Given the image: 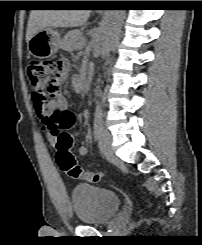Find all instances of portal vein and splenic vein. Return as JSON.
I'll return each mask as SVG.
<instances>
[{"mask_svg": "<svg viewBox=\"0 0 202 245\" xmlns=\"http://www.w3.org/2000/svg\"><path fill=\"white\" fill-rule=\"evenodd\" d=\"M85 42H86V40H85V39H83L82 44H84Z\"/></svg>", "mask_w": 202, "mask_h": 245, "instance_id": "portal-vein-and-splenic-vein-1", "label": "portal vein and splenic vein"}]
</instances>
